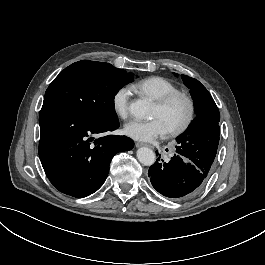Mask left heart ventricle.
<instances>
[{
  "label": "left heart ventricle",
  "instance_id": "obj_1",
  "mask_svg": "<svg viewBox=\"0 0 265 265\" xmlns=\"http://www.w3.org/2000/svg\"><path fill=\"white\" fill-rule=\"evenodd\" d=\"M187 116V106L184 101L176 100L164 111H159L156 106L151 113V118H158L165 126L166 130L180 126Z\"/></svg>",
  "mask_w": 265,
  "mask_h": 265
}]
</instances>
